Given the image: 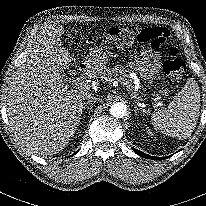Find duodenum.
<instances>
[{"label": "duodenum", "instance_id": "obj_1", "mask_svg": "<svg viewBox=\"0 0 206 206\" xmlns=\"http://www.w3.org/2000/svg\"><path fill=\"white\" fill-rule=\"evenodd\" d=\"M81 71H82V72H84V71H85V69H84V68H82V69H81Z\"/></svg>", "mask_w": 206, "mask_h": 206}]
</instances>
